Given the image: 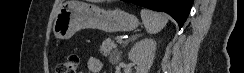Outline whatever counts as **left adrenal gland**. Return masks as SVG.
I'll return each mask as SVG.
<instances>
[{"label": "left adrenal gland", "mask_w": 244, "mask_h": 73, "mask_svg": "<svg viewBox=\"0 0 244 73\" xmlns=\"http://www.w3.org/2000/svg\"><path fill=\"white\" fill-rule=\"evenodd\" d=\"M141 35H139V34H135V35H133L132 37H130L128 40H126L125 42H124V45H127L130 41H132V40H135V39H137L138 37H140ZM123 45V46H124Z\"/></svg>", "instance_id": "left-adrenal-gland-1"}]
</instances>
